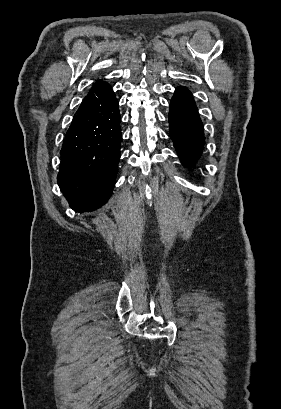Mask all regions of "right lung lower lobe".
Segmentation results:
<instances>
[{
	"label": "right lung lower lobe",
	"instance_id": "right-lung-lower-lobe-1",
	"mask_svg": "<svg viewBox=\"0 0 281 409\" xmlns=\"http://www.w3.org/2000/svg\"><path fill=\"white\" fill-rule=\"evenodd\" d=\"M120 113L109 84L97 81L73 117L60 151L58 184L76 212L109 199L120 159Z\"/></svg>",
	"mask_w": 281,
	"mask_h": 409
}]
</instances>
